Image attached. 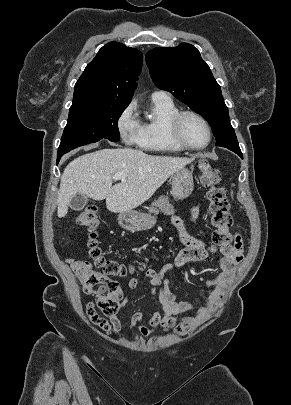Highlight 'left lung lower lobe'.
<instances>
[{"mask_svg": "<svg viewBox=\"0 0 291 405\" xmlns=\"http://www.w3.org/2000/svg\"><path fill=\"white\" fill-rule=\"evenodd\" d=\"M235 153H237L241 158H243V157H242L241 150H236Z\"/></svg>", "mask_w": 291, "mask_h": 405, "instance_id": "obj_1", "label": "left lung lower lobe"}]
</instances>
